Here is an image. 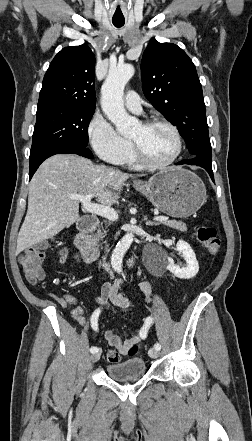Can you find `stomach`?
<instances>
[{
    "instance_id": "0dacf381",
    "label": "stomach",
    "mask_w": 252,
    "mask_h": 441,
    "mask_svg": "<svg viewBox=\"0 0 252 441\" xmlns=\"http://www.w3.org/2000/svg\"><path fill=\"white\" fill-rule=\"evenodd\" d=\"M134 188L161 212L177 218L191 216L206 200L203 181L182 167L160 171L147 182L135 183Z\"/></svg>"
}]
</instances>
